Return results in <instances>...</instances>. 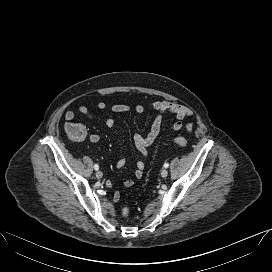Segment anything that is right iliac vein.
Returning <instances> with one entry per match:
<instances>
[{"label":"right iliac vein","instance_id":"obj_1","mask_svg":"<svg viewBox=\"0 0 272 272\" xmlns=\"http://www.w3.org/2000/svg\"><path fill=\"white\" fill-rule=\"evenodd\" d=\"M96 177H97L98 179H101V178L103 177L102 172H101V171H97V172H96Z\"/></svg>","mask_w":272,"mask_h":272}]
</instances>
